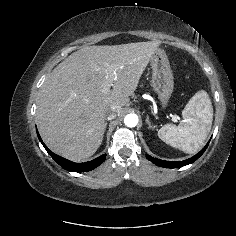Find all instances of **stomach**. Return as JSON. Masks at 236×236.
I'll list each match as a JSON object with an SVG mask.
<instances>
[{"instance_id":"0dacf381","label":"stomach","mask_w":236,"mask_h":236,"mask_svg":"<svg viewBox=\"0 0 236 236\" xmlns=\"http://www.w3.org/2000/svg\"><path fill=\"white\" fill-rule=\"evenodd\" d=\"M152 87L162 108H166L174 90V76L166 52L157 48L151 59Z\"/></svg>"}]
</instances>
